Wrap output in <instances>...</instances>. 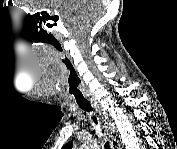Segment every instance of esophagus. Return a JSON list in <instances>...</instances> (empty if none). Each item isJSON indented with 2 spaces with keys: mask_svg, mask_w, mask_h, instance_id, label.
I'll list each match as a JSON object with an SVG mask.
<instances>
[{
  "mask_svg": "<svg viewBox=\"0 0 177 149\" xmlns=\"http://www.w3.org/2000/svg\"><path fill=\"white\" fill-rule=\"evenodd\" d=\"M92 106L94 107L95 111L97 112L98 116L100 117V120L104 126L105 132L108 136V140L110 142V146L112 149H119L120 144L118 140L115 137V125L114 122L111 121L108 117L107 112L104 110V108L99 104L98 102H92Z\"/></svg>",
  "mask_w": 177,
  "mask_h": 149,
  "instance_id": "obj_1",
  "label": "esophagus"
}]
</instances>
